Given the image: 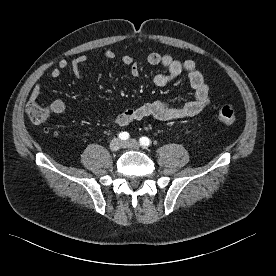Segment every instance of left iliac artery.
I'll list each match as a JSON object with an SVG mask.
<instances>
[{"instance_id":"44dca946","label":"left iliac artery","mask_w":276,"mask_h":276,"mask_svg":"<svg viewBox=\"0 0 276 276\" xmlns=\"http://www.w3.org/2000/svg\"><path fill=\"white\" fill-rule=\"evenodd\" d=\"M139 143L142 147H148L151 144V141L149 138L143 136L139 139Z\"/></svg>"}]
</instances>
